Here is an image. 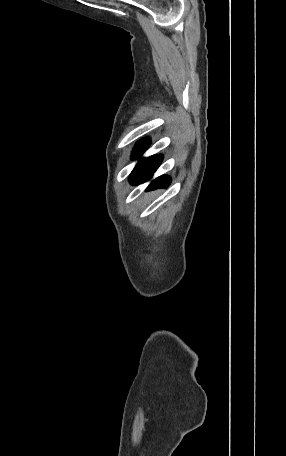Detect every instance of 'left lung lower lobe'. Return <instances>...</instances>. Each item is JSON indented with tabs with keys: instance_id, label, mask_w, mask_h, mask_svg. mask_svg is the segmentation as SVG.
<instances>
[{
	"instance_id": "left-lung-lower-lobe-1",
	"label": "left lung lower lobe",
	"mask_w": 286,
	"mask_h": 456,
	"mask_svg": "<svg viewBox=\"0 0 286 456\" xmlns=\"http://www.w3.org/2000/svg\"><path fill=\"white\" fill-rule=\"evenodd\" d=\"M149 145H150V141L148 138L140 140L137 143L136 148L134 149L133 157L134 158L140 157L142 155V153L149 147ZM161 162H162L161 155H153L148 158L140 159V161L135 166V168L133 169V171L129 177L131 184L137 185V184H140V183H143V182L149 180L153 176L154 172L157 170V168L159 167ZM170 182H171L170 177L160 176L151 182V184L148 186L147 190L167 187V186H169Z\"/></svg>"
}]
</instances>
